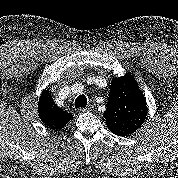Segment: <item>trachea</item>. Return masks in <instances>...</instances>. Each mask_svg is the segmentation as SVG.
Here are the masks:
<instances>
[{"label":"trachea","mask_w":178,"mask_h":178,"mask_svg":"<svg viewBox=\"0 0 178 178\" xmlns=\"http://www.w3.org/2000/svg\"><path fill=\"white\" fill-rule=\"evenodd\" d=\"M87 105V98L84 95H79L76 100H75V107L80 108V107H86Z\"/></svg>","instance_id":"3493384b"}]
</instances>
